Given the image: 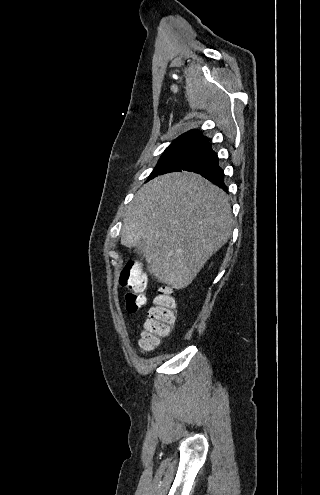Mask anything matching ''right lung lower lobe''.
Instances as JSON below:
<instances>
[{
  "label": "right lung lower lobe",
  "mask_w": 320,
  "mask_h": 495,
  "mask_svg": "<svg viewBox=\"0 0 320 495\" xmlns=\"http://www.w3.org/2000/svg\"><path fill=\"white\" fill-rule=\"evenodd\" d=\"M191 171L208 179L224 191H228L224 183V172L219 166L217 154L206 142L178 171Z\"/></svg>",
  "instance_id": "obj_1"
}]
</instances>
